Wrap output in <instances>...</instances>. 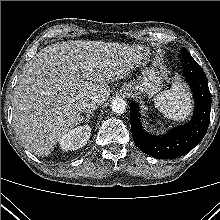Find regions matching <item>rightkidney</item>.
Here are the masks:
<instances>
[{"label": "right kidney", "mask_w": 220, "mask_h": 220, "mask_svg": "<svg viewBox=\"0 0 220 220\" xmlns=\"http://www.w3.org/2000/svg\"><path fill=\"white\" fill-rule=\"evenodd\" d=\"M91 135L89 125L78 126L68 133H65L59 140L60 148L63 151L77 150L86 145Z\"/></svg>", "instance_id": "ca27d5eb"}]
</instances>
